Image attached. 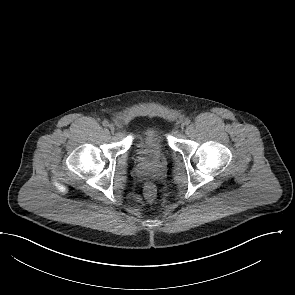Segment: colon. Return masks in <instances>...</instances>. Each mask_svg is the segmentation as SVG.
Wrapping results in <instances>:
<instances>
[{
    "instance_id": "colon-1",
    "label": "colon",
    "mask_w": 295,
    "mask_h": 295,
    "mask_svg": "<svg viewBox=\"0 0 295 295\" xmlns=\"http://www.w3.org/2000/svg\"><path fill=\"white\" fill-rule=\"evenodd\" d=\"M157 194V190L154 184L147 183L144 187V195L148 200H153Z\"/></svg>"
}]
</instances>
